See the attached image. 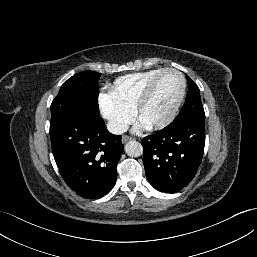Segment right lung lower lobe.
I'll use <instances>...</instances> for the list:
<instances>
[{
  "instance_id": "1",
  "label": "right lung lower lobe",
  "mask_w": 257,
  "mask_h": 257,
  "mask_svg": "<svg viewBox=\"0 0 257 257\" xmlns=\"http://www.w3.org/2000/svg\"><path fill=\"white\" fill-rule=\"evenodd\" d=\"M50 137L60 174L75 193L98 199L114 187L122 136L108 132L100 116L73 114L50 127Z\"/></svg>"
}]
</instances>
